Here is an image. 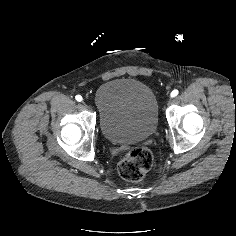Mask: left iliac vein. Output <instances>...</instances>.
Listing matches in <instances>:
<instances>
[{
	"mask_svg": "<svg viewBox=\"0 0 236 236\" xmlns=\"http://www.w3.org/2000/svg\"><path fill=\"white\" fill-rule=\"evenodd\" d=\"M174 96L173 95H170L168 98H167V100L164 102V105L166 106V107H169L170 105H171V103L174 101Z\"/></svg>",
	"mask_w": 236,
	"mask_h": 236,
	"instance_id": "obj_1",
	"label": "left iliac vein"
}]
</instances>
